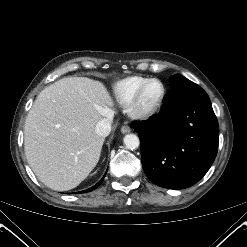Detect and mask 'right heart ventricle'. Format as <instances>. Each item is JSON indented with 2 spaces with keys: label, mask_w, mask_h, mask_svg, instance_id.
Masks as SVG:
<instances>
[{
  "label": "right heart ventricle",
  "mask_w": 247,
  "mask_h": 247,
  "mask_svg": "<svg viewBox=\"0 0 247 247\" xmlns=\"http://www.w3.org/2000/svg\"><path fill=\"white\" fill-rule=\"evenodd\" d=\"M148 79L150 78L144 76H129L118 81L113 87L116 101L122 106H127L137 89Z\"/></svg>",
  "instance_id": "right-heart-ventricle-1"
}]
</instances>
